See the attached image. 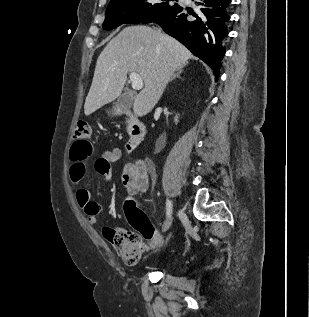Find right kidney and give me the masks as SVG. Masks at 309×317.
<instances>
[{
	"label": "right kidney",
	"mask_w": 309,
	"mask_h": 317,
	"mask_svg": "<svg viewBox=\"0 0 309 317\" xmlns=\"http://www.w3.org/2000/svg\"><path fill=\"white\" fill-rule=\"evenodd\" d=\"M174 121H175V124H177V123H178V116H177V115H176V117H175Z\"/></svg>",
	"instance_id": "ca27d5eb"
}]
</instances>
